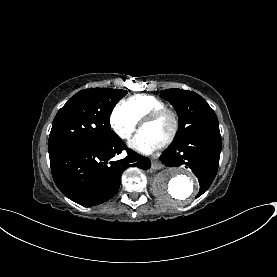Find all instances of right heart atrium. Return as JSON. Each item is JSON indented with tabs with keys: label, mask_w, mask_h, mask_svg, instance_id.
Wrapping results in <instances>:
<instances>
[{
	"label": "right heart atrium",
	"mask_w": 277,
	"mask_h": 277,
	"mask_svg": "<svg viewBox=\"0 0 277 277\" xmlns=\"http://www.w3.org/2000/svg\"><path fill=\"white\" fill-rule=\"evenodd\" d=\"M110 124L121 139L127 140L135 132L138 121L122 106H118L110 117Z\"/></svg>",
	"instance_id": "obj_1"
}]
</instances>
